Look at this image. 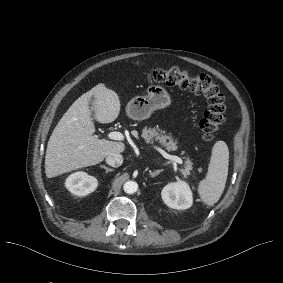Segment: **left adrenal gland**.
<instances>
[{"mask_svg":"<svg viewBox=\"0 0 283 283\" xmlns=\"http://www.w3.org/2000/svg\"><path fill=\"white\" fill-rule=\"evenodd\" d=\"M163 171V169H159V170H157V171H149L150 172V175L152 176V177H155V176H157V175H159L161 172Z\"/></svg>","mask_w":283,"mask_h":283,"instance_id":"a2214340","label":"left adrenal gland"}]
</instances>
